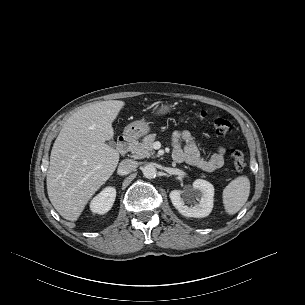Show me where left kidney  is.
Instances as JSON below:
<instances>
[{
	"instance_id": "5707ae66",
	"label": "left kidney",
	"mask_w": 305,
	"mask_h": 305,
	"mask_svg": "<svg viewBox=\"0 0 305 305\" xmlns=\"http://www.w3.org/2000/svg\"><path fill=\"white\" fill-rule=\"evenodd\" d=\"M193 189L198 191L195 195L199 201L195 205L188 206L191 203V198L185 195L184 191L173 190L169 197L173 206L185 217L202 218L208 216L213 208L214 187L203 179H197L193 182Z\"/></svg>"
}]
</instances>
